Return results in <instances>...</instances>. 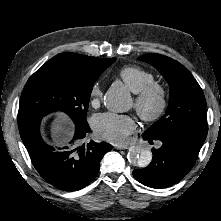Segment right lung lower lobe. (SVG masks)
I'll return each instance as SVG.
<instances>
[{"label":"right lung lower lobe","mask_w":221,"mask_h":221,"mask_svg":"<svg viewBox=\"0 0 221 221\" xmlns=\"http://www.w3.org/2000/svg\"><path fill=\"white\" fill-rule=\"evenodd\" d=\"M89 130L88 123L76 125L69 144L54 149L41 138L40 120L19 125L21 139L34 167L49 184L63 191H77L90 184L98 174L104 154L113 148L106 142L80 144Z\"/></svg>","instance_id":"98d812e1"}]
</instances>
